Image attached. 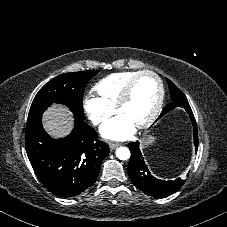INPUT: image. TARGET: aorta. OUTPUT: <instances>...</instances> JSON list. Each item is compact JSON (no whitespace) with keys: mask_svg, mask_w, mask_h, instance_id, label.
I'll use <instances>...</instances> for the list:
<instances>
[{"mask_svg":"<svg viewBox=\"0 0 227 227\" xmlns=\"http://www.w3.org/2000/svg\"><path fill=\"white\" fill-rule=\"evenodd\" d=\"M116 156L120 160H128L130 158V150L127 147H119L116 150Z\"/></svg>","mask_w":227,"mask_h":227,"instance_id":"762f6f07","label":"aorta"}]
</instances>
